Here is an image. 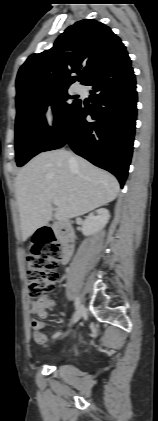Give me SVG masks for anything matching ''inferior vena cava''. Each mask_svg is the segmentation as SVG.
<instances>
[{"label": "inferior vena cava", "mask_w": 158, "mask_h": 421, "mask_svg": "<svg viewBox=\"0 0 158 421\" xmlns=\"http://www.w3.org/2000/svg\"><path fill=\"white\" fill-rule=\"evenodd\" d=\"M74 160H75V159H74V157H73V156H71V157H70V162H74Z\"/></svg>", "instance_id": "inferior-vena-cava-1"}]
</instances>
